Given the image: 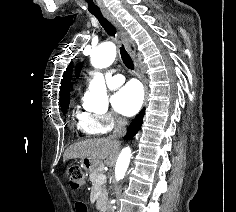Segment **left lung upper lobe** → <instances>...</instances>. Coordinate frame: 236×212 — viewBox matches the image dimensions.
Wrapping results in <instances>:
<instances>
[{
	"label": "left lung upper lobe",
	"mask_w": 236,
	"mask_h": 212,
	"mask_svg": "<svg viewBox=\"0 0 236 212\" xmlns=\"http://www.w3.org/2000/svg\"><path fill=\"white\" fill-rule=\"evenodd\" d=\"M81 68H82V64L79 63V64L76 66V76H79V73H80Z\"/></svg>",
	"instance_id": "obj_1"
}]
</instances>
